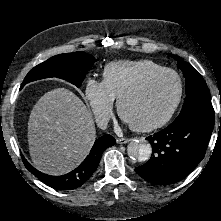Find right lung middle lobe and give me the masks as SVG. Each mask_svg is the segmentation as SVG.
<instances>
[{"label": "right lung middle lobe", "mask_w": 221, "mask_h": 221, "mask_svg": "<svg viewBox=\"0 0 221 221\" xmlns=\"http://www.w3.org/2000/svg\"><path fill=\"white\" fill-rule=\"evenodd\" d=\"M96 59L85 52L64 53L51 57L34 67L25 77L21 88L34 80L59 77L80 87Z\"/></svg>", "instance_id": "right-lung-middle-lobe-1"}]
</instances>
